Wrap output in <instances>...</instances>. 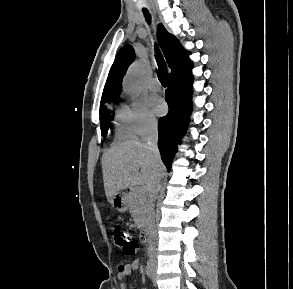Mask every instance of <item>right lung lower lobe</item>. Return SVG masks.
Listing matches in <instances>:
<instances>
[{
  "instance_id": "98d812e1",
  "label": "right lung lower lobe",
  "mask_w": 293,
  "mask_h": 289,
  "mask_svg": "<svg viewBox=\"0 0 293 289\" xmlns=\"http://www.w3.org/2000/svg\"><path fill=\"white\" fill-rule=\"evenodd\" d=\"M192 82V76L179 80L169 79L165 92L169 112L158 121V148L168 171L171 169L177 144L188 125L192 109Z\"/></svg>"
}]
</instances>
